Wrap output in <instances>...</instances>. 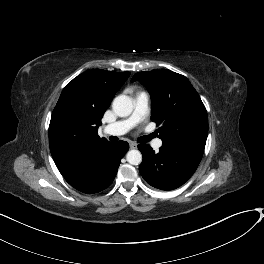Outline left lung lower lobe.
Instances as JSON below:
<instances>
[{"mask_svg": "<svg viewBox=\"0 0 264 264\" xmlns=\"http://www.w3.org/2000/svg\"><path fill=\"white\" fill-rule=\"evenodd\" d=\"M143 155L139 171L144 180L161 190H173L196 171L203 153L189 147L162 145L158 153L147 144H139Z\"/></svg>", "mask_w": 264, "mask_h": 264, "instance_id": "0a47b994", "label": "left lung lower lobe"}]
</instances>
